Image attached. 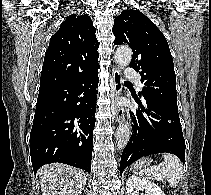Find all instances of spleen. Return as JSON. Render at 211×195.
I'll list each match as a JSON object with an SVG mask.
<instances>
[{"label":"spleen","instance_id":"spleen-1","mask_svg":"<svg viewBox=\"0 0 211 195\" xmlns=\"http://www.w3.org/2000/svg\"><path fill=\"white\" fill-rule=\"evenodd\" d=\"M164 161L159 166H152L140 171L141 176L154 180L166 179L171 186H176L183 176V165L175 155L165 154Z\"/></svg>","mask_w":211,"mask_h":195}]
</instances>
